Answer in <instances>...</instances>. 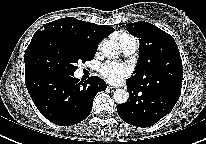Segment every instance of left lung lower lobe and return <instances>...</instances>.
I'll list each match as a JSON object with an SVG mask.
<instances>
[{"mask_svg":"<svg viewBox=\"0 0 206 144\" xmlns=\"http://www.w3.org/2000/svg\"><path fill=\"white\" fill-rule=\"evenodd\" d=\"M129 100L117 105L120 118L137 127H150L171 112L181 93L182 84L149 87L128 79Z\"/></svg>","mask_w":206,"mask_h":144,"instance_id":"left-lung-lower-lobe-1","label":"left lung lower lobe"}]
</instances>
